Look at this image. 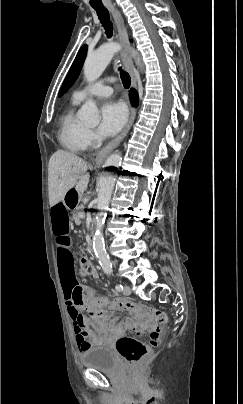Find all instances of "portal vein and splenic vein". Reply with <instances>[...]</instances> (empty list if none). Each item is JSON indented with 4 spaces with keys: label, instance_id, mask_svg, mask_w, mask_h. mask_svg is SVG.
I'll list each match as a JSON object with an SVG mask.
<instances>
[{
    "label": "portal vein and splenic vein",
    "instance_id": "18ae733b",
    "mask_svg": "<svg viewBox=\"0 0 243 404\" xmlns=\"http://www.w3.org/2000/svg\"><path fill=\"white\" fill-rule=\"evenodd\" d=\"M85 210L84 209H81L80 211H77V216H80L81 218H84L85 217Z\"/></svg>",
    "mask_w": 243,
    "mask_h": 404
}]
</instances>
